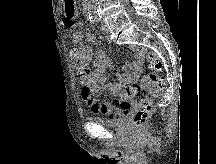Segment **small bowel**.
Masks as SVG:
<instances>
[{
    "label": "small bowel",
    "instance_id": "obj_1",
    "mask_svg": "<svg viewBox=\"0 0 216 164\" xmlns=\"http://www.w3.org/2000/svg\"><path fill=\"white\" fill-rule=\"evenodd\" d=\"M86 38L92 44L97 41L92 33H87ZM143 54L142 49L134 48V61L129 68L123 74L116 75V83L104 85L105 72L112 66L106 52L103 49H97L93 53L92 49L84 44L83 34L79 31L73 33L70 55L82 85V98L94 113H101L114 119L129 111L131 104L129 101L121 99V89L127 83L139 78ZM90 65L91 67H89ZM104 91L113 95L114 98L111 102L100 103L96 99Z\"/></svg>",
    "mask_w": 216,
    "mask_h": 164
}]
</instances>
